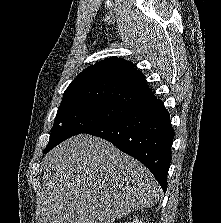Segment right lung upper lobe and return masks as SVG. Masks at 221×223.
Listing matches in <instances>:
<instances>
[{
  "label": "right lung upper lobe",
  "mask_w": 221,
  "mask_h": 223,
  "mask_svg": "<svg viewBox=\"0 0 221 223\" xmlns=\"http://www.w3.org/2000/svg\"><path fill=\"white\" fill-rule=\"evenodd\" d=\"M81 98L108 99L136 107L156 97L131 62L109 58L83 70L66 89L62 102Z\"/></svg>",
  "instance_id": "cb5924a9"
}]
</instances>
